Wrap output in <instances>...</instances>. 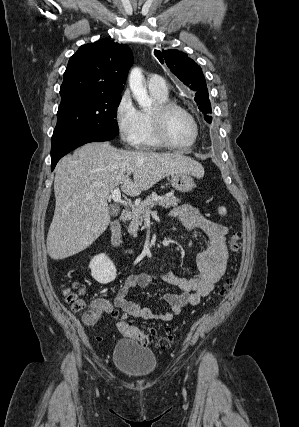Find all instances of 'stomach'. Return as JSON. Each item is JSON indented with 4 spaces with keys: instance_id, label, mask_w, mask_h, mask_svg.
<instances>
[{
    "instance_id": "obj_1",
    "label": "stomach",
    "mask_w": 299,
    "mask_h": 427,
    "mask_svg": "<svg viewBox=\"0 0 299 427\" xmlns=\"http://www.w3.org/2000/svg\"><path fill=\"white\" fill-rule=\"evenodd\" d=\"M170 180L172 187L179 192H190L195 187L192 174L187 172L173 173Z\"/></svg>"
}]
</instances>
